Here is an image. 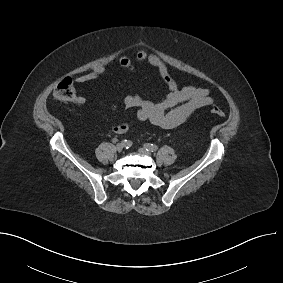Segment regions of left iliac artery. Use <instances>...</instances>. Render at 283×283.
Segmentation results:
<instances>
[{"label":"left iliac artery","mask_w":283,"mask_h":283,"mask_svg":"<svg viewBox=\"0 0 283 283\" xmlns=\"http://www.w3.org/2000/svg\"><path fill=\"white\" fill-rule=\"evenodd\" d=\"M144 147L146 148V150L151 151V152H155L158 149L156 145L150 144V143L144 144Z\"/></svg>","instance_id":"1"}]
</instances>
